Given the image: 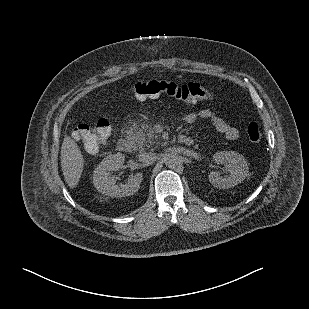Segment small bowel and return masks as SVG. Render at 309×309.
Wrapping results in <instances>:
<instances>
[{"instance_id":"c3829d8e","label":"small bowel","mask_w":309,"mask_h":309,"mask_svg":"<svg viewBox=\"0 0 309 309\" xmlns=\"http://www.w3.org/2000/svg\"><path fill=\"white\" fill-rule=\"evenodd\" d=\"M198 119L209 120L216 131L223 134L228 140H235L239 136L238 130L235 127L231 126L223 118L219 117L208 109H201L195 112H190L185 116V121L189 124L196 122ZM96 148L97 147H95L94 150L90 152L95 151Z\"/></svg>"}]
</instances>
